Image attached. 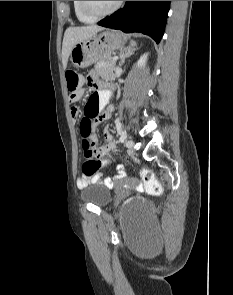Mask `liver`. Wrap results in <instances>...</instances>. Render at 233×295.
<instances>
[{"label": "liver", "mask_w": 233, "mask_h": 295, "mask_svg": "<svg viewBox=\"0 0 233 295\" xmlns=\"http://www.w3.org/2000/svg\"><path fill=\"white\" fill-rule=\"evenodd\" d=\"M101 30H103V27L101 26L89 25L81 27H69L65 31L62 44V64L64 70L67 67L68 58L73 46L78 42L92 37Z\"/></svg>", "instance_id": "6515ba94"}]
</instances>
